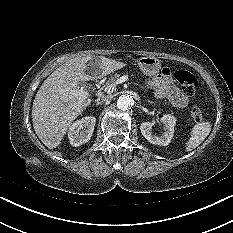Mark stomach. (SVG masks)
Segmentation results:
<instances>
[{
	"label": "stomach",
	"mask_w": 233,
	"mask_h": 233,
	"mask_svg": "<svg viewBox=\"0 0 233 233\" xmlns=\"http://www.w3.org/2000/svg\"><path fill=\"white\" fill-rule=\"evenodd\" d=\"M138 65L140 70L148 76L157 74L161 68L159 59L153 56L141 57L138 60Z\"/></svg>",
	"instance_id": "1"
}]
</instances>
